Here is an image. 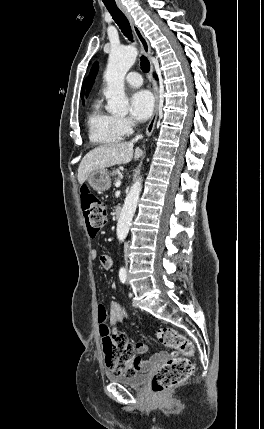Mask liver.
I'll return each instance as SVG.
<instances>
[{
	"mask_svg": "<svg viewBox=\"0 0 264 429\" xmlns=\"http://www.w3.org/2000/svg\"><path fill=\"white\" fill-rule=\"evenodd\" d=\"M141 156L142 150L137 147L134 151L133 142H115L96 147L88 152L80 162L78 182L83 184L95 170L105 169L116 164H126L133 158L138 160Z\"/></svg>",
	"mask_w": 264,
	"mask_h": 429,
	"instance_id": "liver-1",
	"label": "liver"
}]
</instances>
